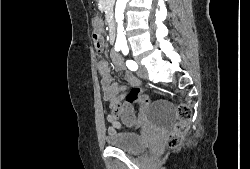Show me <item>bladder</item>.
<instances>
[{
	"label": "bladder",
	"instance_id": "obj_1",
	"mask_svg": "<svg viewBox=\"0 0 250 169\" xmlns=\"http://www.w3.org/2000/svg\"><path fill=\"white\" fill-rule=\"evenodd\" d=\"M106 143L114 150L124 151L131 155H136L149 147V145H142L139 134L129 133L108 134Z\"/></svg>",
	"mask_w": 250,
	"mask_h": 169
}]
</instances>
